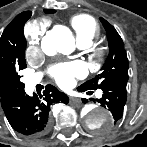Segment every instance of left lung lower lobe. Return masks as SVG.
Listing matches in <instances>:
<instances>
[{"instance_id": "obj_1", "label": "left lung lower lobe", "mask_w": 147, "mask_h": 147, "mask_svg": "<svg viewBox=\"0 0 147 147\" xmlns=\"http://www.w3.org/2000/svg\"><path fill=\"white\" fill-rule=\"evenodd\" d=\"M126 81H117L104 85L101 89L103 96L97 101L107 108L113 115V123H117L122 115L124 106L127 100ZM79 91H86L84 88H78ZM83 103H86V99H82Z\"/></svg>"}]
</instances>
